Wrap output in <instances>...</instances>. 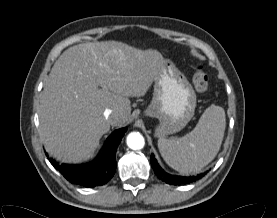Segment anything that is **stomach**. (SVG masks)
I'll use <instances>...</instances> for the list:
<instances>
[{"mask_svg": "<svg viewBox=\"0 0 277 218\" xmlns=\"http://www.w3.org/2000/svg\"><path fill=\"white\" fill-rule=\"evenodd\" d=\"M196 93L187 78L166 60L154 80L153 98L145 115L159 120L155 136L162 137L181 131L194 116Z\"/></svg>", "mask_w": 277, "mask_h": 218, "instance_id": "1", "label": "stomach"}]
</instances>
